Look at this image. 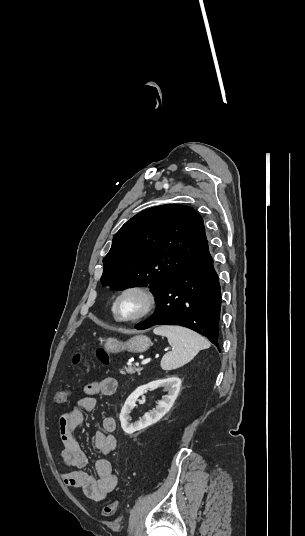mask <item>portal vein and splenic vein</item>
<instances>
[{"label":"portal vein and splenic vein","instance_id":"18ae733b","mask_svg":"<svg viewBox=\"0 0 305 536\" xmlns=\"http://www.w3.org/2000/svg\"><path fill=\"white\" fill-rule=\"evenodd\" d=\"M148 362H151V358H147V360H143L141 364H148ZM136 366H139V364H136Z\"/></svg>","mask_w":305,"mask_h":536}]
</instances>
